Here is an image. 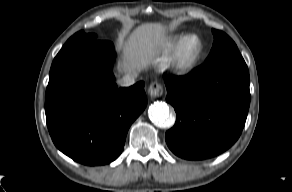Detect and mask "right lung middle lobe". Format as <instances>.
<instances>
[{
  "label": "right lung middle lobe",
  "instance_id": "1",
  "mask_svg": "<svg viewBox=\"0 0 292 192\" xmlns=\"http://www.w3.org/2000/svg\"><path fill=\"white\" fill-rule=\"evenodd\" d=\"M92 41H96L95 34L93 33L85 34L83 31H79L76 34H74L72 37H70L66 43L67 44L68 43H84V42H92Z\"/></svg>",
  "mask_w": 292,
  "mask_h": 192
}]
</instances>
